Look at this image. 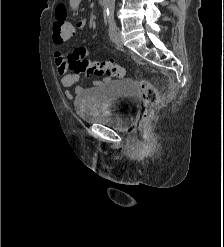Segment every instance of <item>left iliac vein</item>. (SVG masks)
I'll return each instance as SVG.
<instances>
[{"label":"left iliac vein","mask_w":224,"mask_h":247,"mask_svg":"<svg viewBox=\"0 0 224 247\" xmlns=\"http://www.w3.org/2000/svg\"><path fill=\"white\" fill-rule=\"evenodd\" d=\"M114 42L118 47H123L122 35L119 31L115 34Z\"/></svg>","instance_id":"obj_1"}]
</instances>
